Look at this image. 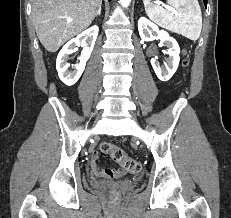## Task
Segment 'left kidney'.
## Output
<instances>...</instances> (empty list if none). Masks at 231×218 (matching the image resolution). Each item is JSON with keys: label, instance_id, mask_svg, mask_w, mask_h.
<instances>
[{"label": "left kidney", "instance_id": "1", "mask_svg": "<svg viewBox=\"0 0 231 218\" xmlns=\"http://www.w3.org/2000/svg\"><path fill=\"white\" fill-rule=\"evenodd\" d=\"M138 31L140 37L144 41H151L155 38L160 39L167 48L169 57L166 60L165 67H161L156 59H151V65L162 81L169 80L176 72L180 61V47L177 41L171 37L166 31L159 30L158 26L145 17H141L138 21Z\"/></svg>", "mask_w": 231, "mask_h": 218}]
</instances>
